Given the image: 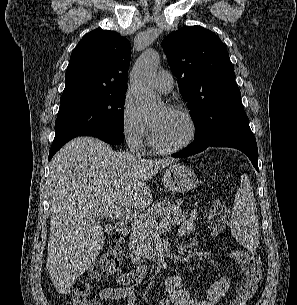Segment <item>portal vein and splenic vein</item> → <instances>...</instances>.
<instances>
[{
  "label": "portal vein and splenic vein",
  "mask_w": 297,
  "mask_h": 305,
  "mask_svg": "<svg viewBox=\"0 0 297 305\" xmlns=\"http://www.w3.org/2000/svg\"><path fill=\"white\" fill-rule=\"evenodd\" d=\"M98 214L105 215L108 217L121 218V219L128 220V221L136 220L140 216L136 212H134L130 209H127V208L123 209L114 204L100 208L98 210ZM164 225L165 224L158 225L157 229L163 227Z\"/></svg>",
  "instance_id": "1"
}]
</instances>
